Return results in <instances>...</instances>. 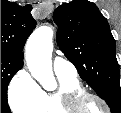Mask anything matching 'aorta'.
Returning a JSON list of instances; mask_svg holds the SVG:
<instances>
[{
	"label": "aorta",
	"instance_id": "762f6f07",
	"mask_svg": "<svg viewBox=\"0 0 121 113\" xmlns=\"http://www.w3.org/2000/svg\"><path fill=\"white\" fill-rule=\"evenodd\" d=\"M53 31L48 26L37 28L26 44V62L31 75L46 89L55 87L52 71Z\"/></svg>",
	"mask_w": 121,
	"mask_h": 113
}]
</instances>
